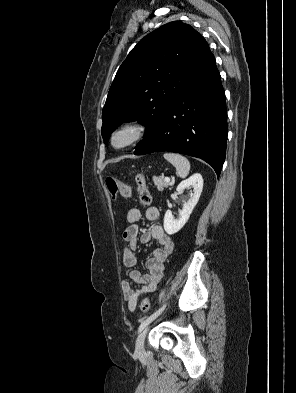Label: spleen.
Listing matches in <instances>:
<instances>
[{"label": "spleen", "mask_w": 296, "mask_h": 393, "mask_svg": "<svg viewBox=\"0 0 296 393\" xmlns=\"http://www.w3.org/2000/svg\"><path fill=\"white\" fill-rule=\"evenodd\" d=\"M163 156L175 167L177 175L180 178L187 177L190 171V162L187 158L175 153H165Z\"/></svg>", "instance_id": "3e777b00"}]
</instances>
